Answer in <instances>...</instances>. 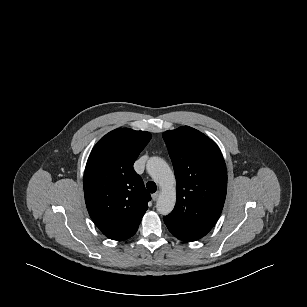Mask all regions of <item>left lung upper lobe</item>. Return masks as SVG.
I'll use <instances>...</instances> for the list:
<instances>
[{
	"label": "left lung upper lobe",
	"mask_w": 307,
	"mask_h": 307,
	"mask_svg": "<svg viewBox=\"0 0 307 307\" xmlns=\"http://www.w3.org/2000/svg\"><path fill=\"white\" fill-rule=\"evenodd\" d=\"M176 177L177 200L165 216L178 231L205 236L219 218L227 192V170L218 146L189 126L163 133Z\"/></svg>",
	"instance_id": "left-lung-upper-lobe-1"
}]
</instances>
